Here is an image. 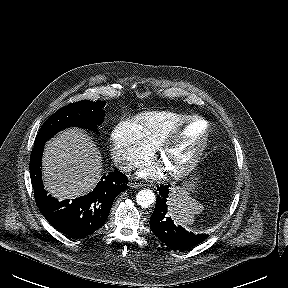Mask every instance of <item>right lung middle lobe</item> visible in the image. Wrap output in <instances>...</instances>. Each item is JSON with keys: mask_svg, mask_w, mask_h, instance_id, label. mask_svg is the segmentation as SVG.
Returning a JSON list of instances; mask_svg holds the SVG:
<instances>
[{"mask_svg": "<svg viewBox=\"0 0 288 288\" xmlns=\"http://www.w3.org/2000/svg\"><path fill=\"white\" fill-rule=\"evenodd\" d=\"M105 102L83 100L69 104L51 115L39 130L34 145L45 143L58 131L68 126H78L95 130L104 118Z\"/></svg>", "mask_w": 288, "mask_h": 288, "instance_id": "1", "label": "right lung middle lobe"}]
</instances>
